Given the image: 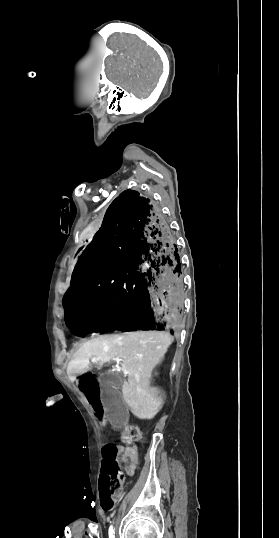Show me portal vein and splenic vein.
I'll list each match as a JSON object with an SVG mask.
<instances>
[{"mask_svg":"<svg viewBox=\"0 0 279 538\" xmlns=\"http://www.w3.org/2000/svg\"><path fill=\"white\" fill-rule=\"evenodd\" d=\"M93 360H97V358H93ZM114 360H116L117 364H121L120 358H114Z\"/></svg>","mask_w":279,"mask_h":538,"instance_id":"18ae733b","label":"portal vein and splenic vein"}]
</instances>
